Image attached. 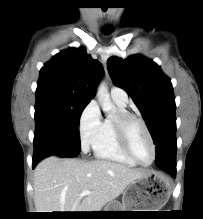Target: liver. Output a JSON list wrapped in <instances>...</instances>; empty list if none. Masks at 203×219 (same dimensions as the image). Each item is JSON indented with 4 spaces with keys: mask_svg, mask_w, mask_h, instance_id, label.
<instances>
[{
    "mask_svg": "<svg viewBox=\"0 0 203 219\" xmlns=\"http://www.w3.org/2000/svg\"><path fill=\"white\" fill-rule=\"evenodd\" d=\"M146 173L107 160L87 162L51 156L34 171L35 208L37 212L101 211ZM84 190L92 193L81 196Z\"/></svg>",
    "mask_w": 203,
    "mask_h": 219,
    "instance_id": "liver-1",
    "label": "liver"
}]
</instances>
